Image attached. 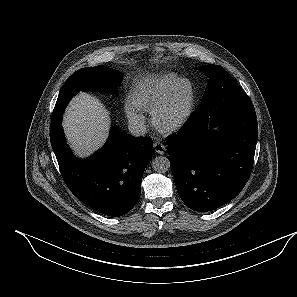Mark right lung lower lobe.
Segmentation results:
<instances>
[{
	"label": "right lung lower lobe",
	"mask_w": 297,
	"mask_h": 297,
	"mask_svg": "<svg viewBox=\"0 0 297 297\" xmlns=\"http://www.w3.org/2000/svg\"><path fill=\"white\" fill-rule=\"evenodd\" d=\"M61 122L62 116L57 127L50 128V140L70 191L104 215L118 217L128 213L141 194L143 173L154 153L152 139L112 128L105 146L81 160L66 144Z\"/></svg>",
	"instance_id": "98d812e1"
}]
</instances>
